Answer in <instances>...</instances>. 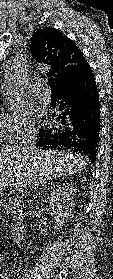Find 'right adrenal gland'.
Instances as JSON below:
<instances>
[{
	"mask_svg": "<svg viewBox=\"0 0 113 279\" xmlns=\"http://www.w3.org/2000/svg\"><path fill=\"white\" fill-rule=\"evenodd\" d=\"M45 184H41V186H44ZM40 194V192L38 194H36L35 198H37V196Z\"/></svg>",
	"mask_w": 113,
	"mask_h": 279,
	"instance_id": "1",
	"label": "right adrenal gland"
}]
</instances>
